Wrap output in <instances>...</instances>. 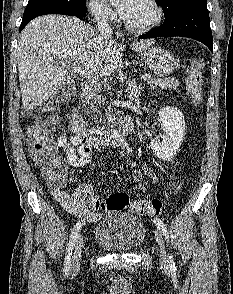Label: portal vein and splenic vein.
<instances>
[{
    "mask_svg": "<svg viewBox=\"0 0 233 294\" xmlns=\"http://www.w3.org/2000/svg\"><path fill=\"white\" fill-rule=\"evenodd\" d=\"M62 66H65L67 69H71L74 73H77L81 76H85V71L81 67L66 65L62 63ZM150 77L148 75H142L141 80H148Z\"/></svg>",
    "mask_w": 233,
    "mask_h": 294,
    "instance_id": "18ae733b",
    "label": "portal vein and splenic vein"
}]
</instances>
